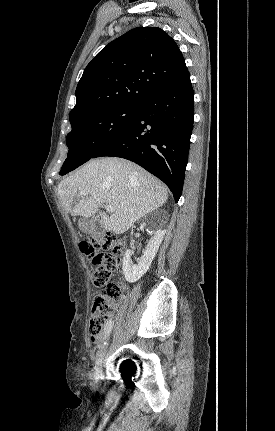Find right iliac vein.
Here are the masks:
<instances>
[{"label": "right iliac vein", "instance_id": "right-iliac-vein-1", "mask_svg": "<svg viewBox=\"0 0 275 431\" xmlns=\"http://www.w3.org/2000/svg\"><path fill=\"white\" fill-rule=\"evenodd\" d=\"M106 348L107 346L102 350V352L100 353L97 361H96V368H95V377L99 378L102 374V366H103V362H104V358L106 355Z\"/></svg>", "mask_w": 275, "mask_h": 431}]
</instances>
